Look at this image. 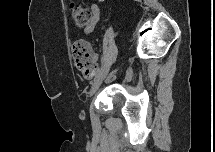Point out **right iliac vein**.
Returning a JSON list of instances; mask_svg holds the SVG:
<instances>
[{
	"mask_svg": "<svg viewBox=\"0 0 215 152\" xmlns=\"http://www.w3.org/2000/svg\"><path fill=\"white\" fill-rule=\"evenodd\" d=\"M109 66L105 68V70H103L101 72V74L96 78V80L94 81V83L92 84V87L90 89L89 92V96L92 97L96 91L98 90L99 86L101 85V83L103 82L104 78L106 77L108 71H109Z\"/></svg>",
	"mask_w": 215,
	"mask_h": 152,
	"instance_id": "obj_1",
	"label": "right iliac vein"
}]
</instances>
